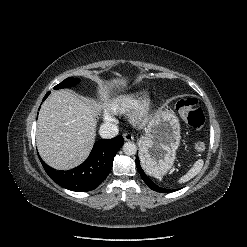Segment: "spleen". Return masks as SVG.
<instances>
[{
  "label": "spleen",
  "instance_id": "1",
  "mask_svg": "<svg viewBox=\"0 0 247 247\" xmlns=\"http://www.w3.org/2000/svg\"><path fill=\"white\" fill-rule=\"evenodd\" d=\"M203 167V160H197L192 168L179 179L180 183H185L195 177L202 169Z\"/></svg>",
  "mask_w": 247,
  "mask_h": 247
}]
</instances>
